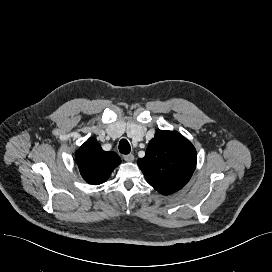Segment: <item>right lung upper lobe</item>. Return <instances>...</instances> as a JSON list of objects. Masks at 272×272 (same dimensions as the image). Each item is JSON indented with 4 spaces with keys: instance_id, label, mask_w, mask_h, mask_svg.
Returning a JSON list of instances; mask_svg holds the SVG:
<instances>
[{
    "instance_id": "cb5924a9",
    "label": "right lung upper lobe",
    "mask_w": 272,
    "mask_h": 272,
    "mask_svg": "<svg viewBox=\"0 0 272 272\" xmlns=\"http://www.w3.org/2000/svg\"><path fill=\"white\" fill-rule=\"evenodd\" d=\"M76 162L83 179L92 185L105 182L120 164V157L113 151L102 150L98 141L88 139L76 153Z\"/></svg>"
}]
</instances>
